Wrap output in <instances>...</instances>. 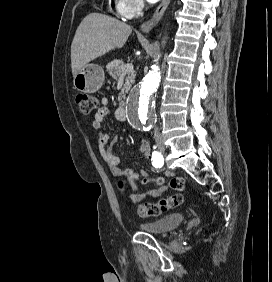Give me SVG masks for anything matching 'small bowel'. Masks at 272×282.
I'll use <instances>...</instances> for the list:
<instances>
[{
  "label": "small bowel",
  "mask_w": 272,
  "mask_h": 282,
  "mask_svg": "<svg viewBox=\"0 0 272 282\" xmlns=\"http://www.w3.org/2000/svg\"><path fill=\"white\" fill-rule=\"evenodd\" d=\"M109 101L106 98L102 99V107L96 112L94 116V120L92 122V127L94 129H100L102 127V123L105 118L109 114ZM117 137H110L108 134L101 133L98 139V149L102 159L104 160L107 167L111 170V172L116 176L126 177L130 184V190L135 191L137 188V183L134 177V173L131 168H121L119 167L120 160L119 158L113 154V146L117 143ZM138 150L142 153L145 161L150 164L151 163V149L149 144L146 141H141L138 145ZM165 175L167 177H171L170 171H166ZM168 189V186L165 184H157L151 185V188L148 192L142 194L130 193L129 200L133 204L142 203L147 197H158L165 193Z\"/></svg>",
  "instance_id": "obj_1"
}]
</instances>
